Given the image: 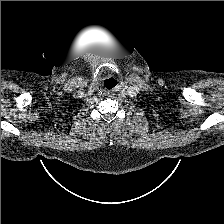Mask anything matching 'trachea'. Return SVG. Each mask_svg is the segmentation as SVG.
Here are the masks:
<instances>
[{"label": "trachea", "mask_w": 224, "mask_h": 224, "mask_svg": "<svg viewBox=\"0 0 224 224\" xmlns=\"http://www.w3.org/2000/svg\"><path fill=\"white\" fill-rule=\"evenodd\" d=\"M117 81L114 78H108L104 81V87L107 89H112L117 85Z\"/></svg>", "instance_id": "trachea-1"}]
</instances>
